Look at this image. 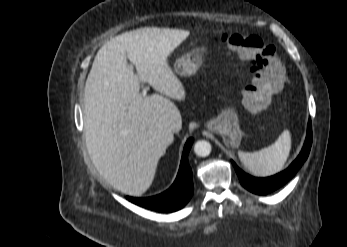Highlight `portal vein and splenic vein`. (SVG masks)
<instances>
[{
  "label": "portal vein and splenic vein",
  "instance_id": "1",
  "mask_svg": "<svg viewBox=\"0 0 347 247\" xmlns=\"http://www.w3.org/2000/svg\"><path fill=\"white\" fill-rule=\"evenodd\" d=\"M146 94H147V91L146 90H143V92H142V96H146Z\"/></svg>",
  "mask_w": 347,
  "mask_h": 247
}]
</instances>
